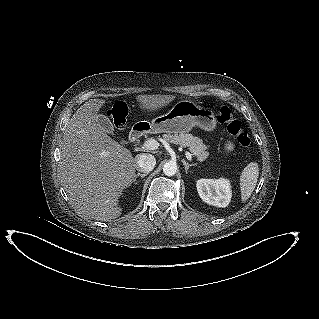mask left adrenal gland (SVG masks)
Segmentation results:
<instances>
[{"mask_svg": "<svg viewBox=\"0 0 319 319\" xmlns=\"http://www.w3.org/2000/svg\"><path fill=\"white\" fill-rule=\"evenodd\" d=\"M182 163H183V165H184V167H185V172H186V174H188L189 167H192V166H196V165H197L196 163H195V164H189V163H187L185 160H182Z\"/></svg>", "mask_w": 319, "mask_h": 319, "instance_id": "obj_1", "label": "left adrenal gland"}]
</instances>
